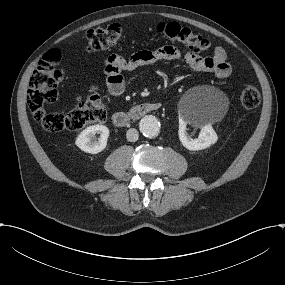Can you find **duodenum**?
Returning a JSON list of instances; mask_svg holds the SVG:
<instances>
[{
    "label": "duodenum",
    "mask_w": 285,
    "mask_h": 285,
    "mask_svg": "<svg viewBox=\"0 0 285 285\" xmlns=\"http://www.w3.org/2000/svg\"><path fill=\"white\" fill-rule=\"evenodd\" d=\"M162 104L159 102H142L132 106L127 111L115 112L112 115V121L115 126L124 128L133 121H137L149 112L160 111Z\"/></svg>",
    "instance_id": "1"
}]
</instances>
